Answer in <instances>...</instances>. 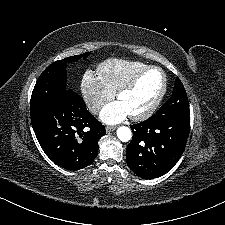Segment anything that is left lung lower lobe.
I'll return each mask as SVG.
<instances>
[{"instance_id": "0a47b994", "label": "left lung lower lobe", "mask_w": 225, "mask_h": 225, "mask_svg": "<svg viewBox=\"0 0 225 225\" xmlns=\"http://www.w3.org/2000/svg\"><path fill=\"white\" fill-rule=\"evenodd\" d=\"M133 138L126 149L129 168L143 179L166 174L184 152L190 129V114H154L130 126Z\"/></svg>"}]
</instances>
